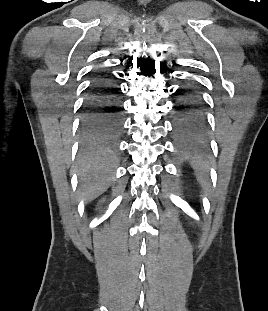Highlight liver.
I'll list each match as a JSON object with an SVG mask.
<instances>
[{"label": "liver", "mask_w": 268, "mask_h": 311, "mask_svg": "<svg viewBox=\"0 0 268 311\" xmlns=\"http://www.w3.org/2000/svg\"><path fill=\"white\" fill-rule=\"evenodd\" d=\"M114 160L105 150L86 151L78 159L81 191L87 201L95 199L109 187Z\"/></svg>", "instance_id": "1"}]
</instances>
